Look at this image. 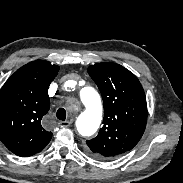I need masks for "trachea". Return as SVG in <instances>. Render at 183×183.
<instances>
[{
    "instance_id": "3493384b",
    "label": "trachea",
    "mask_w": 183,
    "mask_h": 183,
    "mask_svg": "<svg viewBox=\"0 0 183 183\" xmlns=\"http://www.w3.org/2000/svg\"><path fill=\"white\" fill-rule=\"evenodd\" d=\"M56 116L59 120L64 121L66 119V110L64 108H59L57 110Z\"/></svg>"
}]
</instances>
